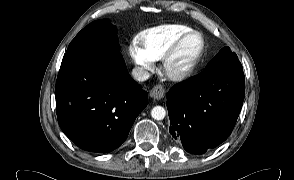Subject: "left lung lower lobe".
<instances>
[{
	"mask_svg": "<svg viewBox=\"0 0 294 180\" xmlns=\"http://www.w3.org/2000/svg\"><path fill=\"white\" fill-rule=\"evenodd\" d=\"M245 94L243 69L193 76L167 93L169 132L191 154H204L231 134Z\"/></svg>",
	"mask_w": 294,
	"mask_h": 180,
	"instance_id": "1",
	"label": "left lung lower lobe"
}]
</instances>
